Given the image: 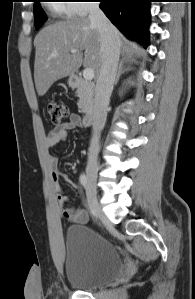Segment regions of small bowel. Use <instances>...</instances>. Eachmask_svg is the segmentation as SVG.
<instances>
[{
  "label": "small bowel",
  "instance_id": "small-bowel-1",
  "mask_svg": "<svg viewBox=\"0 0 195 299\" xmlns=\"http://www.w3.org/2000/svg\"><path fill=\"white\" fill-rule=\"evenodd\" d=\"M79 126H81L79 115L75 113L71 114L67 121L56 126L49 132V135L47 137L48 148H54L57 145L63 143L67 139L68 132ZM49 166L54 181V189L57 194V201L60 206L61 215L74 223H86L89 219L87 211L84 209L75 210L68 207V198L63 194L62 188L59 185V180L70 182L69 177L59 171L57 160L54 157L49 158Z\"/></svg>",
  "mask_w": 195,
  "mask_h": 299
}]
</instances>
